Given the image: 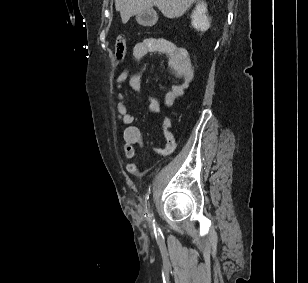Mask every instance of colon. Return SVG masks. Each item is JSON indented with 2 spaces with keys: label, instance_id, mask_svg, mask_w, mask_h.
I'll return each instance as SVG.
<instances>
[{
  "label": "colon",
  "instance_id": "obj_1",
  "mask_svg": "<svg viewBox=\"0 0 308 283\" xmlns=\"http://www.w3.org/2000/svg\"><path fill=\"white\" fill-rule=\"evenodd\" d=\"M126 53V40L123 36L117 39L115 45V56L117 60H122Z\"/></svg>",
  "mask_w": 308,
  "mask_h": 283
}]
</instances>
